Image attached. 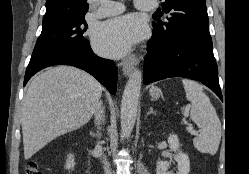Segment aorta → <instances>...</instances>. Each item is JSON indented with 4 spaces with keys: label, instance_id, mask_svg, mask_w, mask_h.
<instances>
[{
    "label": "aorta",
    "instance_id": "1",
    "mask_svg": "<svg viewBox=\"0 0 249 174\" xmlns=\"http://www.w3.org/2000/svg\"><path fill=\"white\" fill-rule=\"evenodd\" d=\"M142 73L134 70L130 75L121 101V129L126 136H130L137 116L138 100L140 96Z\"/></svg>",
    "mask_w": 249,
    "mask_h": 174
}]
</instances>
